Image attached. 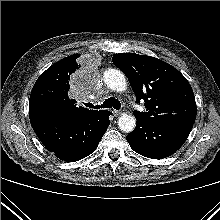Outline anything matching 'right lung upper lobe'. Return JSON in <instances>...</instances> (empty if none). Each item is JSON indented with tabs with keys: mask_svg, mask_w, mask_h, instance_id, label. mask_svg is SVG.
<instances>
[{
	"mask_svg": "<svg viewBox=\"0 0 220 220\" xmlns=\"http://www.w3.org/2000/svg\"><path fill=\"white\" fill-rule=\"evenodd\" d=\"M79 54L68 56L44 71L34 84L29 100V117L50 113L67 118H79L96 112L76 105L69 98L70 78L79 69Z\"/></svg>",
	"mask_w": 220,
	"mask_h": 220,
	"instance_id": "1",
	"label": "right lung upper lobe"
}]
</instances>
